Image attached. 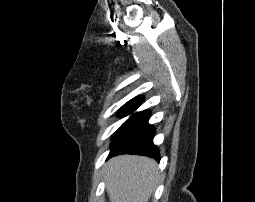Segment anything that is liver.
I'll use <instances>...</instances> for the list:
<instances>
[{
	"label": "liver",
	"instance_id": "1",
	"mask_svg": "<svg viewBox=\"0 0 255 202\" xmlns=\"http://www.w3.org/2000/svg\"><path fill=\"white\" fill-rule=\"evenodd\" d=\"M159 178L155 160L120 155L106 166V190L110 202H148Z\"/></svg>",
	"mask_w": 255,
	"mask_h": 202
}]
</instances>
